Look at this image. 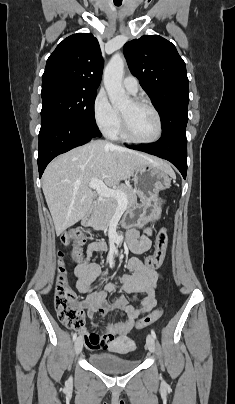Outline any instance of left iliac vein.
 I'll list each match as a JSON object with an SVG mask.
<instances>
[{"mask_svg": "<svg viewBox=\"0 0 235 404\" xmlns=\"http://www.w3.org/2000/svg\"><path fill=\"white\" fill-rule=\"evenodd\" d=\"M146 344L150 352L155 351V340L152 335H148L146 338Z\"/></svg>", "mask_w": 235, "mask_h": 404, "instance_id": "obj_1", "label": "left iliac vein"}]
</instances>
